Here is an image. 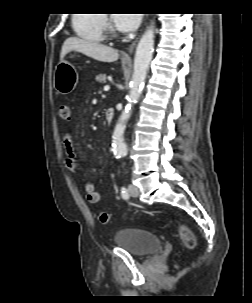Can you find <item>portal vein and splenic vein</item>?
<instances>
[{"instance_id":"portal-vein-and-splenic-vein-1","label":"portal vein and splenic vein","mask_w":252,"mask_h":303,"mask_svg":"<svg viewBox=\"0 0 252 303\" xmlns=\"http://www.w3.org/2000/svg\"><path fill=\"white\" fill-rule=\"evenodd\" d=\"M110 89V86L109 85H105L104 86V91H108Z\"/></svg>"}]
</instances>
